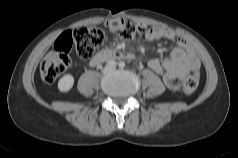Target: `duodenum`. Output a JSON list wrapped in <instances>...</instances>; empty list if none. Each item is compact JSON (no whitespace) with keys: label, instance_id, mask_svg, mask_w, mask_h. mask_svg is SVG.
I'll use <instances>...</instances> for the list:
<instances>
[{"label":"duodenum","instance_id":"obj_1","mask_svg":"<svg viewBox=\"0 0 238 158\" xmlns=\"http://www.w3.org/2000/svg\"><path fill=\"white\" fill-rule=\"evenodd\" d=\"M133 55L130 53L116 52L110 50H104L97 53L91 60V65L95 66L105 61L120 60V59H132Z\"/></svg>","mask_w":238,"mask_h":158}]
</instances>
